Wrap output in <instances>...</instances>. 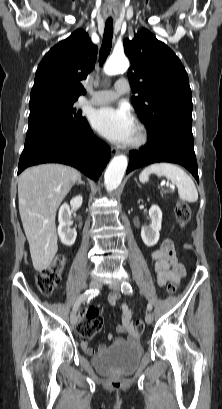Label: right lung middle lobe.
<instances>
[{"mask_svg": "<svg viewBox=\"0 0 222 409\" xmlns=\"http://www.w3.org/2000/svg\"><path fill=\"white\" fill-rule=\"evenodd\" d=\"M74 102H51L30 108L26 142L42 133L72 136L81 131L88 123Z\"/></svg>", "mask_w": 222, "mask_h": 409, "instance_id": "1", "label": "right lung middle lobe"}]
</instances>
